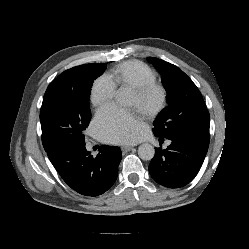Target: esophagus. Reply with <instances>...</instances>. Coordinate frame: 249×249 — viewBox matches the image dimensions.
I'll return each mask as SVG.
<instances>
[{
	"label": "esophagus",
	"instance_id": "obj_1",
	"mask_svg": "<svg viewBox=\"0 0 249 249\" xmlns=\"http://www.w3.org/2000/svg\"><path fill=\"white\" fill-rule=\"evenodd\" d=\"M133 149L132 146H122L121 147V151L125 154L128 153L129 151H131Z\"/></svg>",
	"mask_w": 249,
	"mask_h": 249
}]
</instances>
